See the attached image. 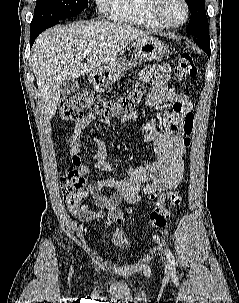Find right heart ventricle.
Returning a JSON list of instances; mask_svg holds the SVG:
<instances>
[{
  "label": "right heart ventricle",
  "instance_id": "right-heart-ventricle-1",
  "mask_svg": "<svg viewBox=\"0 0 239 303\" xmlns=\"http://www.w3.org/2000/svg\"><path fill=\"white\" fill-rule=\"evenodd\" d=\"M149 3L150 0H113L111 18L148 30H160L162 27L156 24L150 15Z\"/></svg>",
  "mask_w": 239,
  "mask_h": 303
}]
</instances>
